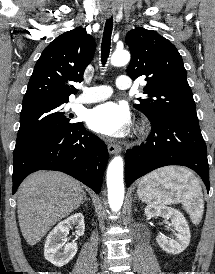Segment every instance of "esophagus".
Here are the masks:
<instances>
[{"mask_svg":"<svg viewBox=\"0 0 215 274\" xmlns=\"http://www.w3.org/2000/svg\"><path fill=\"white\" fill-rule=\"evenodd\" d=\"M121 146L118 144H114V143H109L108 144V152L110 154H117L121 152Z\"/></svg>","mask_w":215,"mask_h":274,"instance_id":"obj_1","label":"esophagus"}]
</instances>
